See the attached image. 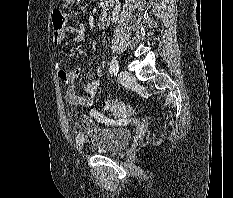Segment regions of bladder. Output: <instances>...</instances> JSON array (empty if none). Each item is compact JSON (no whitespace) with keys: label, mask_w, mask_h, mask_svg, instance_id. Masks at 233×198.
<instances>
[{"label":"bladder","mask_w":233,"mask_h":198,"mask_svg":"<svg viewBox=\"0 0 233 198\" xmlns=\"http://www.w3.org/2000/svg\"><path fill=\"white\" fill-rule=\"evenodd\" d=\"M132 132L125 127H102L83 122L76 135L79 145L101 154H118L130 143Z\"/></svg>","instance_id":"bladder-1"}]
</instances>
